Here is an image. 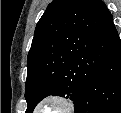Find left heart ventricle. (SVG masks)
Segmentation results:
<instances>
[{"mask_svg":"<svg viewBox=\"0 0 121 113\" xmlns=\"http://www.w3.org/2000/svg\"><path fill=\"white\" fill-rule=\"evenodd\" d=\"M63 110L64 107L61 104L48 102L40 108L39 113H61Z\"/></svg>","mask_w":121,"mask_h":113,"instance_id":"1","label":"left heart ventricle"}]
</instances>
